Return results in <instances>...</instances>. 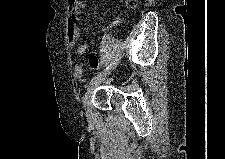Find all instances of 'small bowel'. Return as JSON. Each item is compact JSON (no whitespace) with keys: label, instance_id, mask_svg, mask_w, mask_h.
<instances>
[{"label":"small bowel","instance_id":"small-bowel-1","mask_svg":"<svg viewBox=\"0 0 225 159\" xmlns=\"http://www.w3.org/2000/svg\"><path fill=\"white\" fill-rule=\"evenodd\" d=\"M86 4L83 0L76 1L70 6L67 18V38L70 46L74 47L79 39V29L75 20L76 14L85 8ZM88 49L87 43H82L76 48V54L81 56ZM89 67L99 68L100 62L95 52L89 56ZM74 76L77 80L83 81L85 75V67L81 63H75L73 66Z\"/></svg>","mask_w":225,"mask_h":159}]
</instances>
